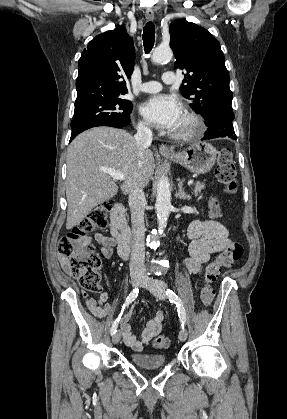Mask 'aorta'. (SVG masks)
I'll use <instances>...</instances> for the list:
<instances>
[{
  "mask_svg": "<svg viewBox=\"0 0 287 419\" xmlns=\"http://www.w3.org/2000/svg\"><path fill=\"white\" fill-rule=\"evenodd\" d=\"M173 53L169 47H157L152 54L154 63H162L172 59ZM156 214L159 231L162 232L166 227L169 214L172 209L170 183L166 176H161L157 184L156 192Z\"/></svg>",
  "mask_w": 287,
  "mask_h": 419,
  "instance_id": "1",
  "label": "aorta"
}]
</instances>
